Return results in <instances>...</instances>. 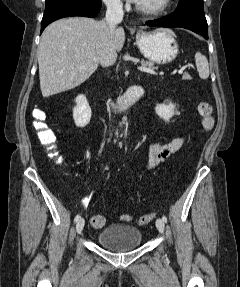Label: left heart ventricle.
<instances>
[{"label": "left heart ventricle", "instance_id": "b2bd125f", "mask_svg": "<svg viewBox=\"0 0 240 287\" xmlns=\"http://www.w3.org/2000/svg\"><path fill=\"white\" fill-rule=\"evenodd\" d=\"M161 0H138V2L146 7H155L160 3Z\"/></svg>", "mask_w": 240, "mask_h": 287}]
</instances>
